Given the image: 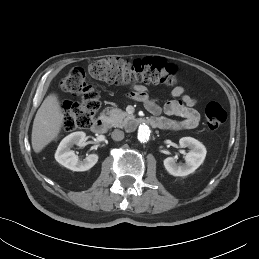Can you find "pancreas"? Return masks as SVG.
I'll list each match as a JSON object with an SVG mask.
<instances>
[{
  "instance_id": "obj_1",
  "label": "pancreas",
  "mask_w": 259,
  "mask_h": 259,
  "mask_svg": "<svg viewBox=\"0 0 259 259\" xmlns=\"http://www.w3.org/2000/svg\"><path fill=\"white\" fill-rule=\"evenodd\" d=\"M106 114L108 115L106 121L111 127L125 128L134 118L133 115H128L119 108H112Z\"/></svg>"
}]
</instances>
